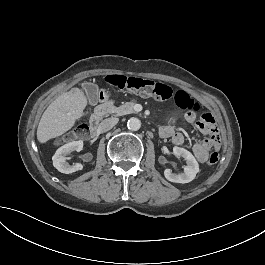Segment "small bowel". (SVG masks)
<instances>
[{
  "mask_svg": "<svg viewBox=\"0 0 265 265\" xmlns=\"http://www.w3.org/2000/svg\"><path fill=\"white\" fill-rule=\"evenodd\" d=\"M185 118L189 123L195 122L196 119L195 114L191 111L186 113ZM199 122L200 121H198L197 123L198 130L202 134L207 135L208 137L203 141L195 142L192 146V151L195 158L199 162L205 163L208 161V156L210 155V152L212 150H218L219 148V134L215 122L212 125V129L214 130L213 133L208 131L206 128L202 127ZM175 126L176 119L172 118L168 124L163 125L160 128L159 134L163 138H169L174 145L180 146L185 142V137L182 133L176 131Z\"/></svg>",
  "mask_w": 265,
  "mask_h": 265,
  "instance_id": "obj_1",
  "label": "small bowel"
}]
</instances>
